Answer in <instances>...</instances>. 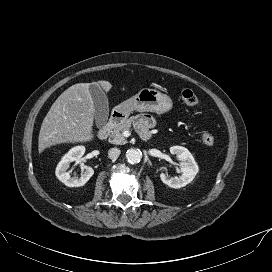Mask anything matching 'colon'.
Masks as SVG:
<instances>
[{
    "mask_svg": "<svg viewBox=\"0 0 272 272\" xmlns=\"http://www.w3.org/2000/svg\"><path fill=\"white\" fill-rule=\"evenodd\" d=\"M181 99L188 107L192 108L191 115L193 116L195 111L194 109L198 106V97L195 92L191 89H184L181 92ZM201 142L209 147H212L216 144V136L209 132H204L200 136Z\"/></svg>",
    "mask_w": 272,
    "mask_h": 272,
    "instance_id": "5ec220e1",
    "label": "colon"
}]
</instances>
